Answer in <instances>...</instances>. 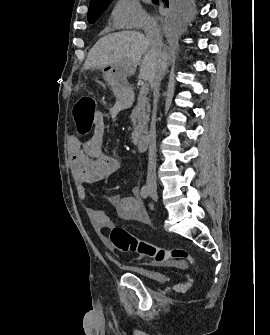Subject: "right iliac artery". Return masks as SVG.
Listing matches in <instances>:
<instances>
[{
  "mask_svg": "<svg viewBox=\"0 0 270 335\" xmlns=\"http://www.w3.org/2000/svg\"><path fill=\"white\" fill-rule=\"evenodd\" d=\"M140 193H141V196L143 198H147L149 196V189H148V187L147 186H143L141 188V192Z\"/></svg>",
  "mask_w": 270,
  "mask_h": 335,
  "instance_id": "right-iliac-artery-1",
  "label": "right iliac artery"
}]
</instances>
